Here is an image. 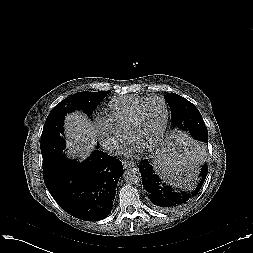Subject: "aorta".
I'll return each instance as SVG.
<instances>
[{
  "instance_id": "1",
  "label": "aorta",
  "mask_w": 253,
  "mask_h": 253,
  "mask_svg": "<svg viewBox=\"0 0 253 253\" xmlns=\"http://www.w3.org/2000/svg\"><path fill=\"white\" fill-rule=\"evenodd\" d=\"M124 180L128 184H137L141 181V173L138 168H129L124 172Z\"/></svg>"
}]
</instances>
